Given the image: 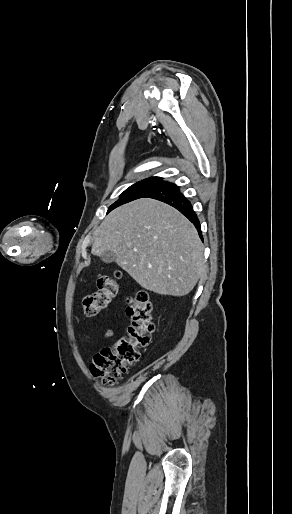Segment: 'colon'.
I'll list each match as a JSON object with an SVG mask.
<instances>
[{
  "label": "colon",
  "mask_w": 292,
  "mask_h": 514,
  "mask_svg": "<svg viewBox=\"0 0 292 514\" xmlns=\"http://www.w3.org/2000/svg\"><path fill=\"white\" fill-rule=\"evenodd\" d=\"M98 291L83 297L86 316H99L120 293V274L104 275L97 280ZM131 316L128 332L120 336L111 346L93 357L90 372L107 385H113L122 377L129 365L140 358V350L147 347L154 331L152 304L146 291L133 292L127 301Z\"/></svg>",
  "instance_id": "colon-1"
}]
</instances>
